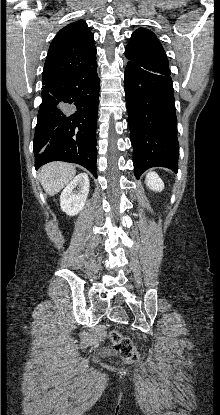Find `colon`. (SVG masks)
<instances>
[{"label": "colon", "instance_id": "obj_1", "mask_svg": "<svg viewBox=\"0 0 220 415\" xmlns=\"http://www.w3.org/2000/svg\"><path fill=\"white\" fill-rule=\"evenodd\" d=\"M113 349L119 354L121 359L126 363L137 361L138 354L132 340L122 335L117 329H112L109 333Z\"/></svg>", "mask_w": 220, "mask_h": 415}]
</instances>
